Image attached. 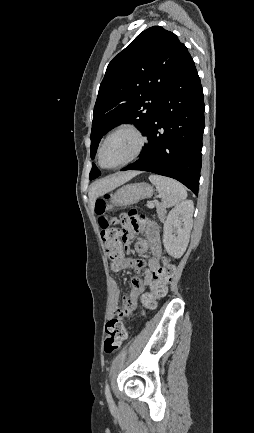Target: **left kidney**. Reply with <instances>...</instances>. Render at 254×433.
I'll return each mask as SVG.
<instances>
[{
    "label": "left kidney",
    "mask_w": 254,
    "mask_h": 433,
    "mask_svg": "<svg viewBox=\"0 0 254 433\" xmlns=\"http://www.w3.org/2000/svg\"><path fill=\"white\" fill-rule=\"evenodd\" d=\"M193 212L194 204L187 200L175 206L164 222L163 245L167 253L174 258H180L188 246Z\"/></svg>",
    "instance_id": "obj_1"
}]
</instances>
